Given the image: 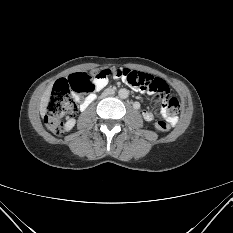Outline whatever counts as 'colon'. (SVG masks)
I'll return each instance as SVG.
<instances>
[{"mask_svg":"<svg viewBox=\"0 0 233 233\" xmlns=\"http://www.w3.org/2000/svg\"><path fill=\"white\" fill-rule=\"evenodd\" d=\"M94 76L115 77L124 80L128 85L151 92L155 100H166V112L174 117L180 110L179 102L170 96L168 85L152 76L127 68H104L97 70ZM94 90V82L85 73H75L67 79L57 81L53 87L44 117L47 128L55 135L64 131V121L68 114L76 110L74 95L90 93ZM155 127L160 131H168L170 124L158 121Z\"/></svg>","mask_w":233,"mask_h":233,"instance_id":"colon-1","label":"colon"}]
</instances>
